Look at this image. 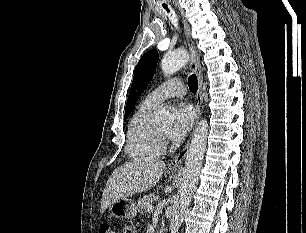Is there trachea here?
Returning <instances> with one entry per match:
<instances>
[{
    "label": "trachea",
    "mask_w": 306,
    "mask_h": 233,
    "mask_svg": "<svg viewBox=\"0 0 306 233\" xmlns=\"http://www.w3.org/2000/svg\"><path fill=\"white\" fill-rule=\"evenodd\" d=\"M163 7L167 9V6L166 5H163ZM188 86H189V89L191 92L195 93L198 89V80H197V77L196 75H191L189 78H188Z\"/></svg>",
    "instance_id": "3493384b"
}]
</instances>
